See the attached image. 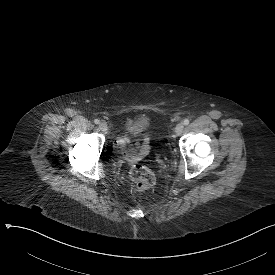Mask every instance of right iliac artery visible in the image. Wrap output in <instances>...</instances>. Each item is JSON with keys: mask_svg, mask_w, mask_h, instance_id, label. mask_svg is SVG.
Listing matches in <instances>:
<instances>
[{"mask_svg": "<svg viewBox=\"0 0 275 275\" xmlns=\"http://www.w3.org/2000/svg\"><path fill=\"white\" fill-rule=\"evenodd\" d=\"M94 123H95V124H99L100 121H99L98 119H95V120H94Z\"/></svg>", "mask_w": 275, "mask_h": 275, "instance_id": "1", "label": "right iliac artery"}]
</instances>
